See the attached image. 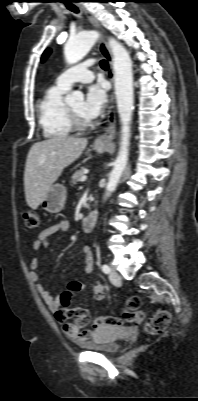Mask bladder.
<instances>
[{"label": "bladder", "instance_id": "31cf9c89", "mask_svg": "<svg viewBox=\"0 0 198 401\" xmlns=\"http://www.w3.org/2000/svg\"><path fill=\"white\" fill-rule=\"evenodd\" d=\"M123 328L117 326H106L102 328L99 335L92 341L84 344V347L90 351L116 354L120 349L118 337L122 334Z\"/></svg>", "mask_w": 198, "mask_h": 401}]
</instances>
